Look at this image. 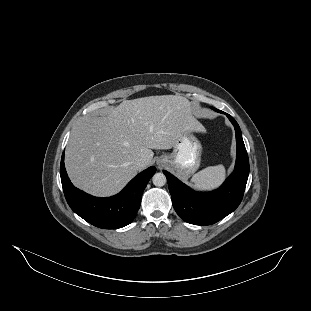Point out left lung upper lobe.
<instances>
[{"instance_id": "left-lung-upper-lobe-1", "label": "left lung upper lobe", "mask_w": 311, "mask_h": 311, "mask_svg": "<svg viewBox=\"0 0 311 311\" xmlns=\"http://www.w3.org/2000/svg\"><path fill=\"white\" fill-rule=\"evenodd\" d=\"M212 109H214L215 111H217V112H221L220 110H218V109H215V108H212Z\"/></svg>"}]
</instances>
